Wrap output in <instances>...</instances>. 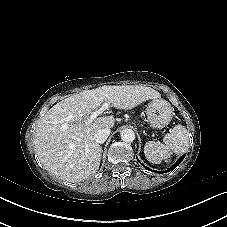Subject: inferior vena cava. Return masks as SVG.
<instances>
[{
    "mask_svg": "<svg viewBox=\"0 0 227 227\" xmlns=\"http://www.w3.org/2000/svg\"><path fill=\"white\" fill-rule=\"evenodd\" d=\"M110 129L109 128H102V129H99L96 131V133L94 134V140L97 142V143H104L108 136L110 135Z\"/></svg>",
    "mask_w": 227,
    "mask_h": 227,
    "instance_id": "inferior-vena-cava-1",
    "label": "inferior vena cava"
}]
</instances>
